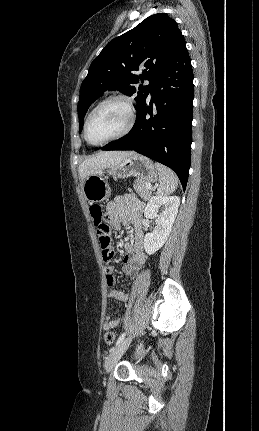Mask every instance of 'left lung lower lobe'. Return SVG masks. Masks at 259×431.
<instances>
[{
    "label": "left lung lower lobe",
    "instance_id": "left-lung-lower-lobe-1",
    "mask_svg": "<svg viewBox=\"0 0 259 431\" xmlns=\"http://www.w3.org/2000/svg\"><path fill=\"white\" fill-rule=\"evenodd\" d=\"M149 93L152 99H145L138 108L132 130L101 149L135 150L160 162L175 171L185 190L191 159L194 88L184 40L158 72Z\"/></svg>",
    "mask_w": 259,
    "mask_h": 431
}]
</instances>
